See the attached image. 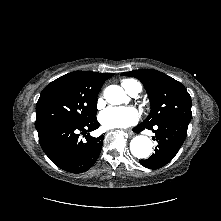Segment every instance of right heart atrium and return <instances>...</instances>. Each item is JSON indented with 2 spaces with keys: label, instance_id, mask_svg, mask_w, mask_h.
I'll list each match as a JSON object with an SVG mask.
<instances>
[{
  "label": "right heart atrium",
  "instance_id": "obj_1",
  "mask_svg": "<svg viewBox=\"0 0 221 221\" xmlns=\"http://www.w3.org/2000/svg\"><path fill=\"white\" fill-rule=\"evenodd\" d=\"M101 103H102V100H101V99H98V101H97L98 106H100Z\"/></svg>",
  "mask_w": 221,
  "mask_h": 221
}]
</instances>
